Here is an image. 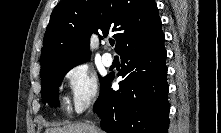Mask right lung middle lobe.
Returning a JSON list of instances; mask_svg holds the SVG:
<instances>
[{"label":"right lung middle lobe","mask_w":221,"mask_h":133,"mask_svg":"<svg viewBox=\"0 0 221 133\" xmlns=\"http://www.w3.org/2000/svg\"><path fill=\"white\" fill-rule=\"evenodd\" d=\"M79 62H65L50 65L41 71V94L43 103L52 107L58 106L59 85L65 74ZM105 77H100L101 83Z\"/></svg>","instance_id":"right-lung-middle-lobe-1"}]
</instances>
